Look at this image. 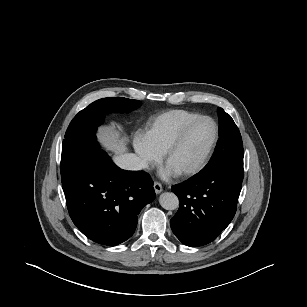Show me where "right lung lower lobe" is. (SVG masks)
Masks as SVG:
<instances>
[{
  "label": "right lung lower lobe",
  "instance_id": "right-lung-lower-lobe-1",
  "mask_svg": "<svg viewBox=\"0 0 307 307\" xmlns=\"http://www.w3.org/2000/svg\"><path fill=\"white\" fill-rule=\"evenodd\" d=\"M69 215L89 239L108 246L129 239L141 209L155 198L144 171L118 168L100 148L62 178Z\"/></svg>",
  "mask_w": 307,
  "mask_h": 307
}]
</instances>
